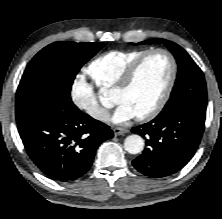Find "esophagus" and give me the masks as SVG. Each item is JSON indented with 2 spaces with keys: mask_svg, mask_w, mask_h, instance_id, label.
Wrapping results in <instances>:
<instances>
[{
  "mask_svg": "<svg viewBox=\"0 0 222 219\" xmlns=\"http://www.w3.org/2000/svg\"><path fill=\"white\" fill-rule=\"evenodd\" d=\"M113 132H114V135H115V136H119V135H124V134L128 133L129 130L126 129V128L115 127V128L113 129Z\"/></svg>",
  "mask_w": 222,
  "mask_h": 219,
  "instance_id": "esophagus-1",
  "label": "esophagus"
}]
</instances>
